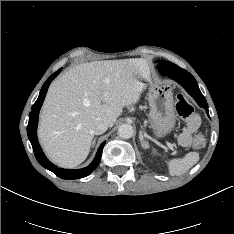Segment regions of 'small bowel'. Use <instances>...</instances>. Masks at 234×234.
<instances>
[{
  "label": "small bowel",
  "mask_w": 234,
  "mask_h": 234,
  "mask_svg": "<svg viewBox=\"0 0 234 234\" xmlns=\"http://www.w3.org/2000/svg\"><path fill=\"white\" fill-rule=\"evenodd\" d=\"M196 121H197L196 125L188 124V126L185 127L182 133L180 134L179 142L182 146L186 147L189 146V144L191 143L192 136L195 133L200 123V119L197 115H196Z\"/></svg>",
  "instance_id": "1"
}]
</instances>
